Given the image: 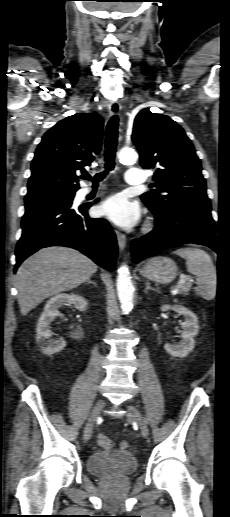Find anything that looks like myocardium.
I'll list each match as a JSON object with an SVG mask.
<instances>
[{
	"label": "myocardium",
	"mask_w": 230,
	"mask_h": 517,
	"mask_svg": "<svg viewBox=\"0 0 230 517\" xmlns=\"http://www.w3.org/2000/svg\"><path fill=\"white\" fill-rule=\"evenodd\" d=\"M146 227H147V229H149L151 227V224L148 223Z\"/></svg>",
	"instance_id": "myocardium-1"
}]
</instances>
